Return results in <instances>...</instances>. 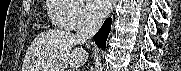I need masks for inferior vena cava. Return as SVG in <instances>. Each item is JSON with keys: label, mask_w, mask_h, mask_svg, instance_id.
Segmentation results:
<instances>
[{"label": "inferior vena cava", "mask_w": 181, "mask_h": 71, "mask_svg": "<svg viewBox=\"0 0 181 71\" xmlns=\"http://www.w3.org/2000/svg\"><path fill=\"white\" fill-rule=\"evenodd\" d=\"M102 22L99 18L92 15H86L77 30V41L80 44H85L89 47V40L96 34L100 29Z\"/></svg>", "instance_id": "inferior-vena-cava-1"}]
</instances>
